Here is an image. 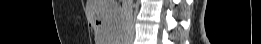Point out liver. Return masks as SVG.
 <instances>
[{"label":"liver","mask_w":261,"mask_h":44,"mask_svg":"<svg viewBox=\"0 0 261 44\" xmlns=\"http://www.w3.org/2000/svg\"><path fill=\"white\" fill-rule=\"evenodd\" d=\"M87 10L93 24H128L126 14H115L122 13L115 0H88ZM95 30L96 44H119L112 40H123L124 30H120V25H95Z\"/></svg>","instance_id":"6515ba94"}]
</instances>
